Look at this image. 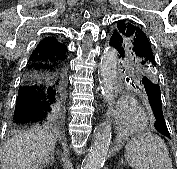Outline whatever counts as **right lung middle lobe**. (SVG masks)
<instances>
[{
	"label": "right lung middle lobe",
	"instance_id": "dd1d6c3e",
	"mask_svg": "<svg viewBox=\"0 0 177 169\" xmlns=\"http://www.w3.org/2000/svg\"><path fill=\"white\" fill-rule=\"evenodd\" d=\"M63 125V120L61 122H58L56 126L61 127Z\"/></svg>",
	"mask_w": 177,
	"mask_h": 169
}]
</instances>
